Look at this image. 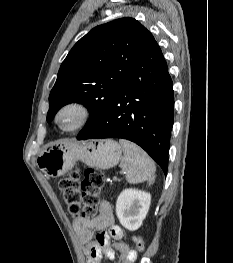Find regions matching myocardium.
<instances>
[{
  "label": "myocardium",
  "instance_id": "obj_1",
  "mask_svg": "<svg viewBox=\"0 0 233 263\" xmlns=\"http://www.w3.org/2000/svg\"><path fill=\"white\" fill-rule=\"evenodd\" d=\"M68 112L75 113L77 115V120L72 126L64 127L61 123V117ZM89 118H90L89 108L81 102L72 101L64 104L59 108V110L55 114L54 122L60 130H62L63 132L70 133L85 126Z\"/></svg>",
  "mask_w": 233,
  "mask_h": 263
}]
</instances>
